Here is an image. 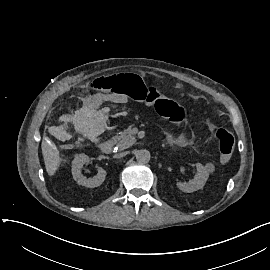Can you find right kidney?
<instances>
[{
	"mask_svg": "<svg viewBox=\"0 0 270 270\" xmlns=\"http://www.w3.org/2000/svg\"><path fill=\"white\" fill-rule=\"evenodd\" d=\"M89 162V157L82 153L75 155L74 160L72 161V175L75 181L78 182V184L94 188L100 186L106 177V171L99 167L98 173L93 178H86L82 175L81 169L85 163Z\"/></svg>",
	"mask_w": 270,
	"mask_h": 270,
	"instance_id": "obj_1",
	"label": "right kidney"
}]
</instances>
